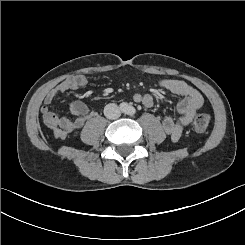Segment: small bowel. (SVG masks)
<instances>
[{
	"label": "small bowel",
	"mask_w": 245,
	"mask_h": 245,
	"mask_svg": "<svg viewBox=\"0 0 245 245\" xmlns=\"http://www.w3.org/2000/svg\"><path fill=\"white\" fill-rule=\"evenodd\" d=\"M86 82L87 79L83 75L72 76L60 82L46 94L41 107L42 119L56 138L65 139L71 134L77 135L85 122L96 115L86 104L78 100L67 104L69 110L75 116L74 119L58 117L50 110V105L56 96L69 90H77L83 87ZM159 86L166 91L183 97L177 105V116L167 115L162 120L164 131L172 141L176 142L181 137L183 129L191 123L195 113L202 107L204 100L199 91L182 80L163 79L159 82ZM133 99L145 107H152L154 104L153 97L150 94L135 93Z\"/></svg>",
	"instance_id": "small-bowel-1"
}]
</instances>
